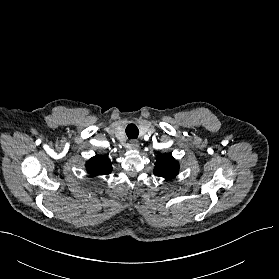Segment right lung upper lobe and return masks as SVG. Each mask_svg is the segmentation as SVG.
Instances as JSON below:
<instances>
[{
  "instance_id": "obj_1",
  "label": "right lung upper lobe",
  "mask_w": 279,
  "mask_h": 279,
  "mask_svg": "<svg viewBox=\"0 0 279 279\" xmlns=\"http://www.w3.org/2000/svg\"><path fill=\"white\" fill-rule=\"evenodd\" d=\"M86 169L92 176H101L111 173L112 165L106 156L96 155L86 163Z\"/></svg>"
}]
</instances>
